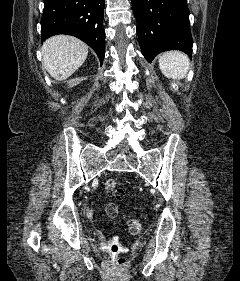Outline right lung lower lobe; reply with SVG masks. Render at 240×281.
<instances>
[{
	"instance_id": "1",
	"label": "right lung lower lobe",
	"mask_w": 240,
	"mask_h": 281,
	"mask_svg": "<svg viewBox=\"0 0 240 281\" xmlns=\"http://www.w3.org/2000/svg\"><path fill=\"white\" fill-rule=\"evenodd\" d=\"M104 4L105 0H44L42 41L57 34L75 36L96 52L102 64L105 56Z\"/></svg>"
}]
</instances>
